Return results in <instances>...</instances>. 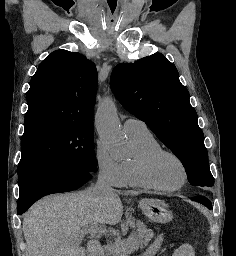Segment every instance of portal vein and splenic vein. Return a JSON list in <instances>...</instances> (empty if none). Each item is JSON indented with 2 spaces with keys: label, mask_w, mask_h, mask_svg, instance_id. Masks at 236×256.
<instances>
[{
  "label": "portal vein and splenic vein",
  "mask_w": 236,
  "mask_h": 256,
  "mask_svg": "<svg viewBox=\"0 0 236 256\" xmlns=\"http://www.w3.org/2000/svg\"><path fill=\"white\" fill-rule=\"evenodd\" d=\"M102 232L103 228H101V226H96V228H90V226H87V228H82L81 234L79 236V242L85 238L86 234H94V236H96V234H102Z\"/></svg>",
  "instance_id": "18ae733b"
}]
</instances>
